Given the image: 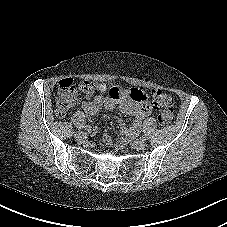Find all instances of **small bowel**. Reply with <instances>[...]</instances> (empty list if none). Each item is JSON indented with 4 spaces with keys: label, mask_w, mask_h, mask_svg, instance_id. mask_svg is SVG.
I'll use <instances>...</instances> for the list:
<instances>
[{
    "label": "small bowel",
    "mask_w": 227,
    "mask_h": 227,
    "mask_svg": "<svg viewBox=\"0 0 227 227\" xmlns=\"http://www.w3.org/2000/svg\"><path fill=\"white\" fill-rule=\"evenodd\" d=\"M98 90L105 95H97L91 101L82 103V109L88 115H96L101 110H112L118 106L120 111L134 118L133 124L127 128L120 122L121 134L125 138L134 137L141 128L144 118L150 115L151 108L146 103L147 94L136 88L129 90L121 87L108 88L105 84H99ZM108 141V138H105Z\"/></svg>",
    "instance_id": "c3829d8e"
}]
</instances>
